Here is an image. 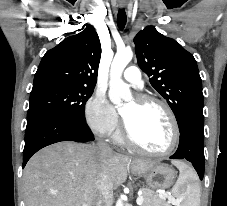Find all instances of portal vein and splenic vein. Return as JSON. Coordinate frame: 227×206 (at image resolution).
<instances>
[{"label": "portal vein and splenic vein", "instance_id": "portal-vein-and-splenic-vein-1", "mask_svg": "<svg viewBox=\"0 0 227 206\" xmlns=\"http://www.w3.org/2000/svg\"><path fill=\"white\" fill-rule=\"evenodd\" d=\"M160 197L162 198V199H165V198H167L168 197V199L172 202V203H178V201L177 200H175L174 198H172L170 195H168V194H166V193H161L160 194ZM143 197H142V192L141 191H139L138 192V197H137V200H136V203H137V205H142V203H143ZM83 206H88L87 204H83Z\"/></svg>", "mask_w": 227, "mask_h": 206}]
</instances>
